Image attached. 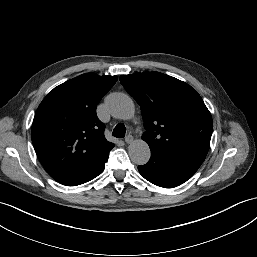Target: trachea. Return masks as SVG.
<instances>
[{
    "instance_id": "trachea-1",
    "label": "trachea",
    "mask_w": 257,
    "mask_h": 257,
    "mask_svg": "<svg viewBox=\"0 0 257 257\" xmlns=\"http://www.w3.org/2000/svg\"><path fill=\"white\" fill-rule=\"evenodd\" d=\"M125 133H126V127L124 126V124L118 123L115 126V128L112 132V135L117 138H123L125 136Z\"/></svg>"
}]
</instances>
